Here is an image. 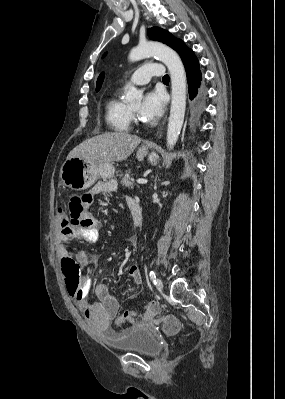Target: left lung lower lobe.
I'll use <instances>...</instances> for the list:
<instances>
[{
  "mask_svg": "<svg viewBox=\"0 0 285 399\" xmlns=\"http://www.w3.org/2000/svg\"><path fill=\"white\" fill-rule=\"evenodd\" d=\"M180 56L186 70L189 97L191 100L196 98V106L197 108H201L205 95L203 92L199 94L197 92V88L200 86V80L202 79L198 59L190 48L183 51Z\"/></svg>",
  "mask_w": 285,
  "mask_h": 399,
  "instance_id": "obj_1",
  "label": "left lung lower lobe"
}]
</instances>
